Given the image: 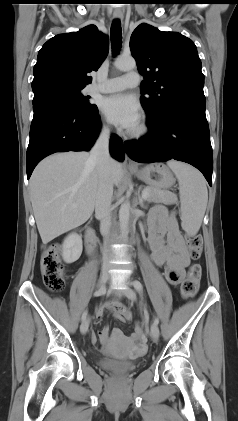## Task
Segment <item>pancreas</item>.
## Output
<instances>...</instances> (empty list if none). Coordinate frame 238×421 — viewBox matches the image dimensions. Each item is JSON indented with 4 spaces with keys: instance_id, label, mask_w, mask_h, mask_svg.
<instances>
[{
    "instance_id": "obj_1",
    "label": "pancreas",
    "mask_w": 238,
    "mask_h": 421,
    "mask_svg": "<svg viewBox=\"0 0 238 421\" xmlns=\"http://www.w3.org/2000/svg\"><path fill=\"white\" fill-rule=\"evenodd\" d=\"M144 190L149 191V196L147 198L148 203H164V204H172L174 202L175 197L170 194L169 192L154 188V187H146Z\"/></svg>"
}]
</instances>
